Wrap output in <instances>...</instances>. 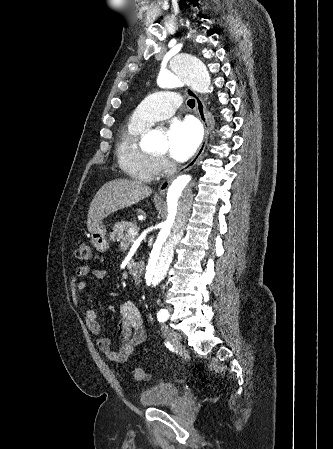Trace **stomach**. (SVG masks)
<instances>
[{
  "instance_id": "0dacf381",
  "label": "stomach",
  "mask_w": 333,
  "mask_h": 449,
  "mask_svg": "<svg viewBox=\"0 0 333 449\" xmlns=\"http://www.w3.org/2000/svg\"><path fill=\"white\" fill-rule=\"evenodd\" d=\"M91 242L96 250L101 253L109 248L106 228L102 223H99L95 229L91 230Z\"/></svg>"
}]
</instances>
